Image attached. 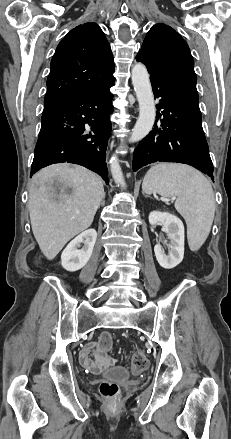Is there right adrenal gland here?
<instances>
[{
    "instance_id": "right-adrenal-gland-1",
    "label": "right adrenal gland",
    "mask_w": 231,
    "mask_h": 439,
    "mask_svg": "<svg viewBox=\"0 0 231 439\" xmlns=\"http://www.w3.org/2000/svg\"><path fill=\"white\" fill-rule=\"evenodd\" d=\"M101 205H102V206L105 205V200H104V198H103V200H102V202H101Z\"/></svg>"
}]
</instances>
